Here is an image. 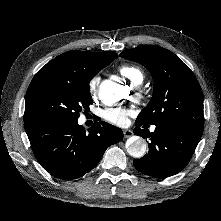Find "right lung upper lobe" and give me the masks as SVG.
Listing matches in <instances>:
<instances>
[{"mask_svg": "<svg viewBox=\"0 0 221 221\" xmlns=\"http://www.w3.org/2000/svg\"><path fill=\"white\" fill-rule=\"evenodd\" d=\"M116 57L117 53L115 52H85L72 50L48 62L37 74L84 75L95 73L99 71L100 68H104L105 65H109Z\"/></svg>", "mask_w": 221, "mask_h": 221, "instance_id": "right-lung-upper-lobe-1", "label": "right lung upper lobe"}]
</instances>
